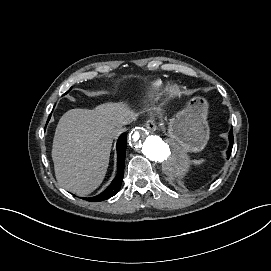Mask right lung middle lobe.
Instances as JSON below:
<instances>
[{
	"mask_svg": "<svg viewBox=\"0 0 271 271\" xmlns=\"http://www.w3.org/2000/svg\"><path fill=\"white\" fill-rule=\"evenodd\" d=\"M70 90H71V89H70ZM70 90H69V91H70ZM69 91H67L65 94H67ZM65 94H64V95H65Z\"/></svg>",
	"mask_w": 271,
	"mask_h": 271,
	"instance_id": "1",
	"label": "right lung middle lobe"
}]
</instances>
